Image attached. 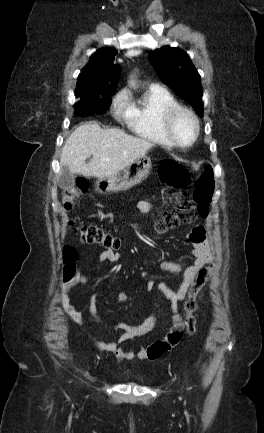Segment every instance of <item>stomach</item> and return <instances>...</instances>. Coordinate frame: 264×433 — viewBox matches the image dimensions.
Wrapping results in <instances>:
<instances>
[{
	"instance_id": "1",
	"label": "stomach",
	"mask_w": 264,
	"mask_h": 433,
	"mask_svg": "<svg viewBox=\"0 0 264 433\" xmlns=\"http://www.w3.org/2000/svg\"><path fill=\"white\" fill-rule=\"evenodd\" d=\"M152 168L151 158L144 155L131 163L123 175H116L96 182V191L102 194L128 190L147 178Z\"/></svg>"
}]
</instances>
